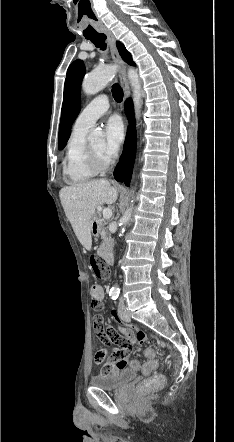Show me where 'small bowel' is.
Wrapping results in <instances>:
<instances>
[{
	"instance_id": "1",
	"label": "small bowel",
	"mask_w": 234,
	"mask_h": 442,
	"mask_svg": "<svg viewBox=\"0 0 234 442\" xmlns=\"http://www.w3.org/2000/svg\"><path fill=\"white\" fill-rule=\"evenodd\" d=\"M112 317L119 322L117 312L111 311ZM103 317L100 314L94 316L92 325L95 333L98 334L99 341L102 344H117L122 350H131L133 343L142 344L146 340L144 332L136 330L135 328L128 326H119V330L115 326H109L108 330L104 329ZM120 331V332H119ZM122 335H121V334Z\"/></svg>"
}]
</instances>
